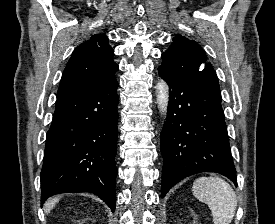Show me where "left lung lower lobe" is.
I'll return each mask as SVG.
<instances>
[{
    "label": "left lung lower lobe",
    "instance_id": "0a47b994",
    "mask_svg": "<svg viewBox=\"0 0 275 224\" xmlns=\"http://www.w3.org/2000/svg\"><path fill=\"white\" fill-rule=\"evenodd\" d=\"M167 120L161 133L162 191L201 172H217L237 184L221 95L193 79L171 80Z\"/></svg>",
    "mask_w": 275,
    "mask_h": 224
}]
</instances>
